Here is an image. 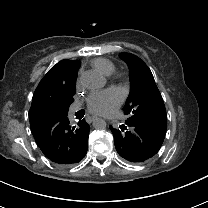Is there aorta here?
I'll list each match as a JSON object with an SVG mask.
<instances>
[{
	"label": "aorta",
	"mask_w": 208,
	"mask_h": 208,
	"mask_svg": "<svg viewBox=\"0 0 208 208\" xmlns=\"http://www.w3.org/2000/svg\"><path fill=\"white\" fill-rule=\"evenodd\" d=\"M92 125L95 129H104L106 127V122L104 119L96 117L93 120Z\"/></svg>",
	"instance_id": "aorta-1"
}]
</instances>
